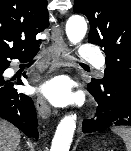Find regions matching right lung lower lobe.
<instances>
[{
    "mask_svg": "<svg viewBox=\"0 0 131 151\" xmlns=\"http://www.w3.org/2000/svg\"><path fill=\"white\" fill-rule=\"evenodd\" d=\"M38 50L0 58V117L11 122L25 135L35 139H38V121L33 100L23 93H18L12 87V83L4 80L2 74L10 65L9 59L17 58L21 62H26L35 56Z\"/></svg>",
    "mask_w": 131,
    "mask_h": 151,
    "instance_id": "obj_1",
    "label": "right lung lower lobe"
}]
</instances>
